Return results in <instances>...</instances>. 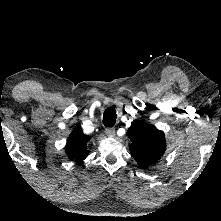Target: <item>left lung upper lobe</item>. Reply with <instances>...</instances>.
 <instances>
[{
	"mask_svg": "<svg viewBox=\"0 0 221 221\" xmlns=\"http://www.w3.org/2000/svg\"><path fill=\"white\" fill-rule=\"evenodd\" d=\"M130 152L138 165L145 169L157 162L166 149L164 133L155 126L142 121L131 123L127 131Z\"/></svg>",
	"mask_w": 221,
	"mask_h": 221,
	"instance_id": "1",
	"label": "left lung upper lobe"
}]
</instances>
